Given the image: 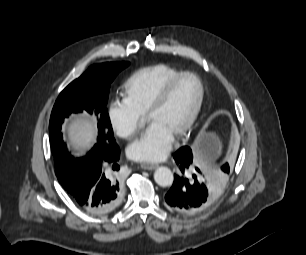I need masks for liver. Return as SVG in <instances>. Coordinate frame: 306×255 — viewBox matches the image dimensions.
Masks as SVG:
<instances>
[{
    "label": "liver",
    "instance_id": "obj_1",
    "mask_svg": "<svg viewBox=\"0 0 306 255\" xmlns=\"http://www.w3.org/2000/svg\"><path fill=\"white\" fill-rule=\"evenodd\" d=\"M96 124L92 119L76 117L68 128L69 141L72 146L84 150L95 142Z\"/></svg>",
    "mask_w": 306,
    "mask_h": 255
}]
</instances>
